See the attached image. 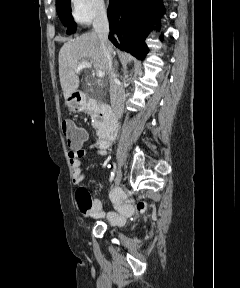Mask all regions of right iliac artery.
<instances>
[{
    "mask_svg": "<svg viewBox=\"0 0 240 288\" xmlns=\"http://www.w3.org/2000/svg\"><path fill=\"white\" fill-rule=\"evenodd\" d=\"M110 167V166H109ZM114 177H115V172L112 171L111 172V176H110V182H112L114 180Z\"/></svg>",
    "mask_w": 240,
    "mask_h": 288,
    "instance_id": "82829eb1",
    "label": "right iliac artery"
}]
</instances>
